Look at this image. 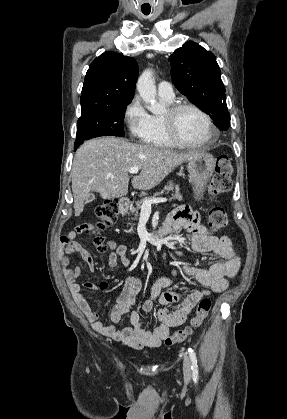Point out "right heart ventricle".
I'll return each instance as SVG.
<instances>
[{
    "mask_svg": "<svg viewBox=\"0 0 287 419\" xmlns=\"http://www.w3.org/2000/svg\"><path fill=\"white\" fill-rule=\"evenodd\" d=\"M166 101L171 102L170 100ZM142 142L154 147L161 148H172L177 146L167 137L162 123V118L157 115L151 116L150 129L148 133L142 138Z\"/></svg>",
    "mask_w": 287,
    "mask_h": 419,
    "instance_id": "right-heart-ventricle-1",
    "label": "right heart ventricle"
}]
</instances>
